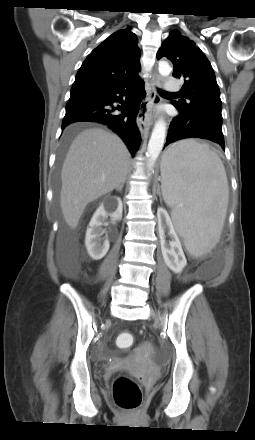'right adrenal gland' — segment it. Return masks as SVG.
Masks as SVG:
<instances>
[{
    "label": "right adrenal gland",
    "mask_w": 255,
    "mask_h": 440,
    "mask_svg": "<svg viewBox=\"0 0 255 440\" xmlns=\"http://www.w3.org/2000/svg\"><path fill=\"white\" fill-rule=\"evenodd\" d=\"M124 184H125V180L120 184V186H118V187L116 188V191H119V192L122 193V189H123V187H124Z\"/></svg>",
    "instance_id": "right-adrenal-gland-1"
}]
</instances>
